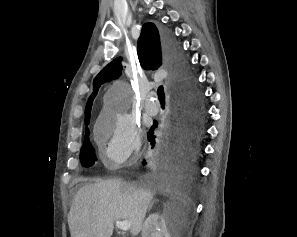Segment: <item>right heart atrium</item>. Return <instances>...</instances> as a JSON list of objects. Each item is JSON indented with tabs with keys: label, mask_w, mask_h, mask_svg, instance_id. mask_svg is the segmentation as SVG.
<instances>
[{
	"label": "right heart atrium",
	"mask_w": 297,
	"mask_h": 237,
	"mask_svg": "<svg viewBox=\"0 0 297 237\" xmlns=\"http://www.w3.org/2000/svg\"><path fill=\"white\" fill-rule=\"evenodd\" d=\"M95 134L109 167L117 168L140 155V128L136 120L120 109L108 108L100 115Z\"/></svg>",
	"instance_id": "1"
}]
</instances>
